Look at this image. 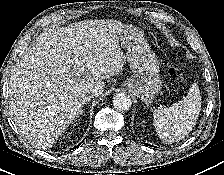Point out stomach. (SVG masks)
I'll list each match as a JSON object with an SVG mask.
<instances>
[{
  "label": "stomach",
  "instance_id": "0dacf381",
  "mask_svg": "<svg viewBox=\"0 0 224 175\" xmlns=\"http://www.w3.org/2000/svg\"><path fill=\"white\" fill-rule=\"evenodd\" d=\"M120 40L127 49L125 58L133 72L123 87L143 102H150L162 86L157 57L137 27L126 26Z\"/></svg>",
  "mask_w": 224,
  "mask_h": 175
}]
</instances>
